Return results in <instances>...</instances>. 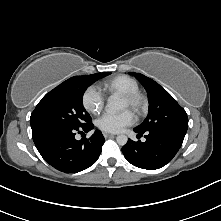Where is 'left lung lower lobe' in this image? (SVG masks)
I'll list each match as a JSON object with an SVG mask.
<instances>
[{
    "label": "left lung lower lobe",
    "mask_w": 221,
    "mask_h": 221,
    "mask_svg": "<svg viewBox=\"0 0 221 221\" xmlns=\"http://www.w3.org/2000/svg\"><path fill=\"white\" fill-rule=\"evenodd\" d=\"M140 136L145 134V142L129 140L122 148L127 161L132 165L155 170L169 163L181 147L185 131L177 129H161L141 133L134 129Z\"/></svg>",
    "instance_id": "left-lung-lower-lobe-1"
}]
</instances>
